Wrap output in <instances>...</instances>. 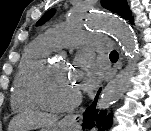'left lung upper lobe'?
Returning a JSON list of instances; mask_svg holds the SVG:
<instances>
[{
  "mask_svg": "<svg viewBox=\"0 0 151 131\" xmlns=\"http://www.w3.org/2000/svg\"><path fill=\"white\" fill-rule=\"evenodd\" d=\"M101 4L106 9L118 13L123 18L130 19V21L133 20L131 17V11L127 6L126 0H101ZM54 13L55 9L47 11L43 15V17L37 22V25L43 24L44 21L50 19L54 15Z\"/></svg>",
  "mask_w": 151,
  "mask_h": 131,
  "instance_id": "1",
  "label": "left lung upper lobe"
}]
</instances>
